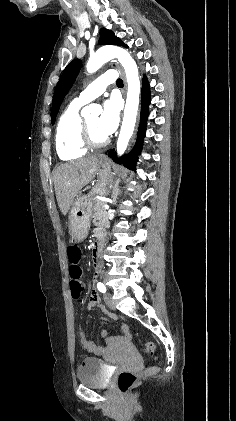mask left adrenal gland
<instances>
[{"instance_id":"left-adrenal-gland-1","label":"left adrenal gland","mask_w":236,"mask_h":421,"mask_svg":"<svg viewBox=\"0 0 236 421\" xmlns=\"http://www.w3.org/2000/svg\"><path fill=\"white\" fill-rule=\"evenodd\" d=\"M120 192V188H118V184H115V186H112V200H113V204H115V202H117L116 198H117V194H119Z\"/></svg>"}]
</instances>
